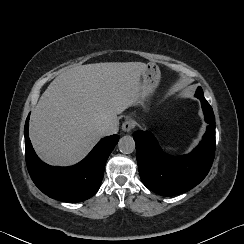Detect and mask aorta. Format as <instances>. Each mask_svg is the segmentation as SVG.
I'll use <instances>...</instances> for the list:
<instances>
[{"label":"aorta","instance_id":"obj_1","mask_svg":"<svg viewBox=\"0 0 244 244\" xmlns=\"http://www.w3.org/2000/svg\"><path fill=\"white\" fill-rule=\"evenodd\" d=\"M119 151L123 154H131L135 151V141L133 137L126 135L118 142Z\"/></svg>","mask_w":244,"mask_h":244}]
</instances>
